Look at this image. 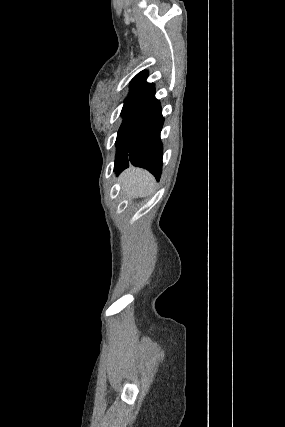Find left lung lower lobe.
Masks as SVG:
<instances>
[{"label":"left lung lower lobe","instance_id":"obj_1","mask_svg":"<svg viewBox=\"0 0 285 427\" xmlns=\"http://www.w3.org/2000/svg\"><path fill=\"white\" fill-rule=\"evenodd\" d=\"M163 123L160 102L154 97L119 137L114 167L116 173L132 164L148 170L159 179L162 171L160 132Z\"/></svg>","mask_w":285,"mask_h":427}]
</instances>
